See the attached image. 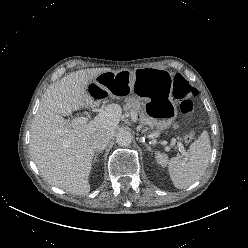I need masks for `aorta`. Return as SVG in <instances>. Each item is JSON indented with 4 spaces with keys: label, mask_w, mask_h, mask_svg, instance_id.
<instances>
[{
    "label": "aorta",
    "mask_w": 248,
    "mask_h": 248,
    "mask_svg": "<svg viewBox=\"0 0 248 248\" xmlns=\"http://www.w3.org/2000/svg\"><path fill=\"white\" fill-rule=\"evenodd\" d=\"M133 136L128 130H120L116 134V142L120 146H129L132 143Z\"/></svg>",
    "instance_id": "obj_1"
}]
</instances>
